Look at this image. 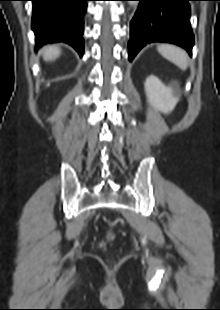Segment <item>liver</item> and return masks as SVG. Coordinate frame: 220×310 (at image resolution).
Returning <instances> with one entry per match:
<instances>
[{
	"label": "liver",
	"mask_w": 220,
	"mask_h": 310,
	"mask_svg": "<svg viewBox=\"0 0 220 310\" xmlns=\"http://www.w3.org/2000/svg\"><path fill=\"white\" fill-rule=\"evenodd\" d=\"M45 61L55 60L61 53L57 46H47L42 51Z\"/></svg>",
	"instance_id": "6515ba94"
}]
</instances>
